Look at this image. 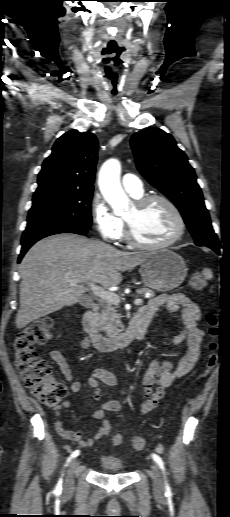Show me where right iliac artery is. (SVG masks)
<instances>
[{"instance_id": "1", "label": "right iliac artery", "mask_w": 230, "mask_h": 517, "mask_svg": "<svg viewBox=\"0 0 230 517\" xmlns=\"http://www.w3.org/2000/svg\"><path fill=\"white\" fill-rule=\"evenodd\" d=\"M79 453H80V451H79V450H75V451H73V452H72V454H71V455L69 456V458L67 459V463H66V465H65V466H67V465H68V463H69L72 459L76 458V457L79 455ZM61 483H62V478H60V480H59V482H58V485L56 486V490H57V491H60V490H61Z\"/></svg>"}]
</instances>
